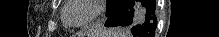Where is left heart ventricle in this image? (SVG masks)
<instances>
[{
	"instance_id": "obj_1",
	"label": "left heart ventricle",
	"mask_w": 219,
	"mask_h": 37,
	"mask_svg": "<svg viewBox=\"0 0 219 37\" xmlns=\"http://www.w3.org/2000/svg\"><path fill=\"white\" fill-rule=\"evenodd\" d=\"M66 11V17L71 22H82L94 12V7L87 0H73Z\"/></svg>"
}]
</instances>
